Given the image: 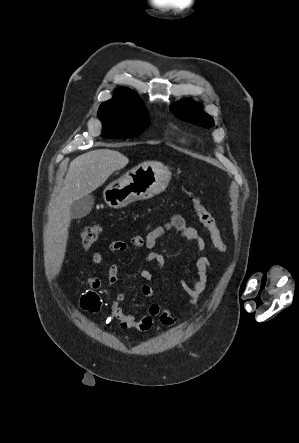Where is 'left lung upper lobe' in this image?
<instances>
[{"mask_svg": "<svg viewBox=\"0 0 299 443\" xmlns=\"http://www.w3.org/2000/svg\"><path fill=\"white\" fill-rule=\"evenodd\" d=\"M170 111L178 118L194 125L205 128L214 125L212 117L205 113L198 103L190 99L180 100L176 105L170 107Z\"/></svg>", "mask_w": 299, "mask_h": 443, "instance_id": "1", "label": "left lung upper lobe"}]
</instances>
